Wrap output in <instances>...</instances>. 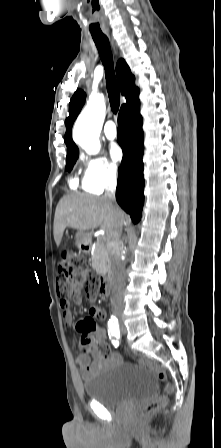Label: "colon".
<instances>
[{"label": "colon", "instance_id": "1", "mask_svg": "<svg viewBox=\"0 0 221 448\" xmlns=\"http://www.w3.org/2000/svg\"><path fill=\"white\" fill-rule=\"evenodd\" d=\"M79 265L80 261L72 248H65L60 256V261L58 265V275H57V283L58 287L61 291H65L69 288L71 281L73 279H77L79 276ZM88 296L90 298L94 297L95 294V282L94 280L90 281L88 288ZM83 328L85 330L91 331L94 328L92 322H87L83 324ZM139 363L143 366H146L149 370L157 375V377L164 382L163 388L166 392L171 391V385L167 382V374L165 370L155 361L151 359H140ZM167 402L166 396H161L158 399L149 402L139 411V419L146 420L151 417L154 413H156L160 408H162Z\"/></svg>", "mask_w": 221, "mask_h": 448}]
</instances>
